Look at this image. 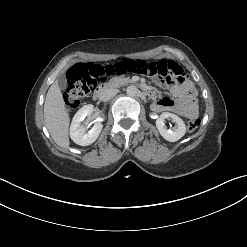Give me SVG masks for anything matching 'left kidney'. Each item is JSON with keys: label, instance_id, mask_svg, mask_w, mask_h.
Masks as SVG:
<instances>
[{"label": "left kidney", "instance_id": "1", "mask_svg": "<svg viewBox=\"0 0 247 247\" xmlns=\"http://www.w3.org/2000/svg\"><path fill=\"white\" fill-rule=\"evenodd\" d=\"M171 118L177 124V128L174 130L167 129L165 127L164 120ZM156 127L161 136L169 142H176L182 138L186 133V126L183 120L175 114L164 112L156 120Z\"/></svg>", "mask_w": 247, "mask_h": 247}]
</instances>
